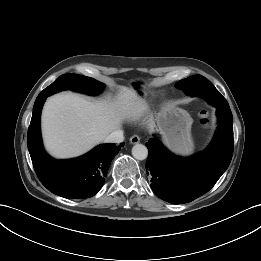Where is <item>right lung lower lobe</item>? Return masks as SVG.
<instances>
[{
  "label": "right lung lower lobe",
  "mask_w": 261,
  "mask_h": 261,
  "mask_svg": "<svg viewBox=\"0 0 261 261\" xmlns=\"http://www.w3.org/2000/svg\"><path fill=\"white\" fill-rule=\"evenodd\" d=\"M48 96L44 92L38 95L28 129L27 143L35 172L41 183L56 195L64 198L92 197L104 184L110 163L124 143L119 146L99 145L76 159L51 158L43 149L40 133L41 109Z\"/></svg>",
  "instance_id": "98d812e1"
}]
</instances>
